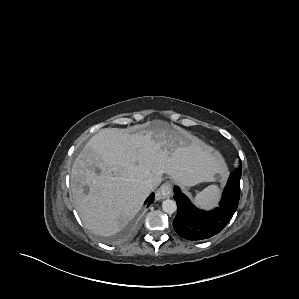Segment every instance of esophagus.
<instances>
[{"label": "esophagus", "instance_id": "obj_1", "mask_svg": "<svg viewBox=\"0 0 299 299\" xmlns=\"http://www.w3.org/2000/svg\"><path fill=\"white\" fill-rule=\"evenodd\" d=\"M172 193V185L170 182H165L157 191L156 199L161 200L170 197Z\"/></svg>", "mask_w": 299, "mask_h": 299}]
</instances>
